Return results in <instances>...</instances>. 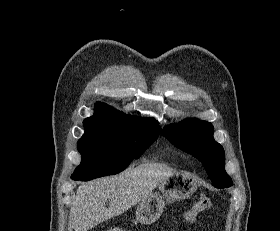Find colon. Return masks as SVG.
<instances>
[{"label": "colon", "instance_id": "5ec220e1", "mask_svg": "<svg viewBox=\"0 0 280 231\" xmlns=\"http://www.w3.org/2000/svg\"><path fill=\"white\" fill-rule=\"evenodd\" d=\"M210 206H211V200L209 199V197H207L206 195H200L195 202V208H189L188 212L189 213H197L198 209H206V208H209ZM185 219L186 220H193L194 216L193 215H186ZM186 220H179L178 224L179 225H186L187 224Z\"/></svg>", "mask_w": 280, "mask_h": 231}]
</instances>
